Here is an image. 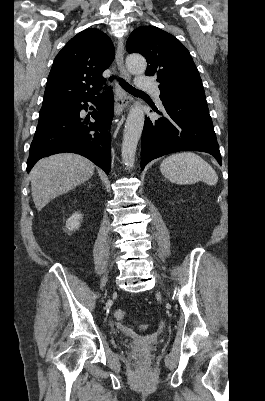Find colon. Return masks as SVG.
Segmentation results:
<instances>
[{
  "label": "colon",
  "instance_id": "colon-1",
  "mask_svg": "<svg viewBox=\"0 0 265 401\" xmlns=\"http://www.w3.org/2000/svg\"><path fill=\"white\" fill-rule=\"evenodd\" d=\"M114 317L117 321H121L125 318V313H124V311H122L120 309L116 310L114 313ZM145 327H146L145 325L141 326V328H145Z\"/></svg>",
  "mask_w": 265,
  "mask_h": 401
}]
</instances>
